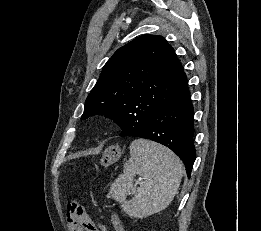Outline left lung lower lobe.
<instances>
[{
	"instance_id": "obj_1",
	"label": "left lung lower lobe",
	"mask_w": 261,
	"mask_h": 231,
	"mask_svg": "<svg viewBox=\"0 0 261 231\" xmlns=\"http://www.w3.org/2000/svg\"><path fill=\"white\" fill-rule=\"evenodd\" d=\"M193 117L194 109L187 85L160 108L143 129L125 130L120 136L145 138L165 145L180 157L190 177L196 156Z\"/></svg>"
}]
</instances>
